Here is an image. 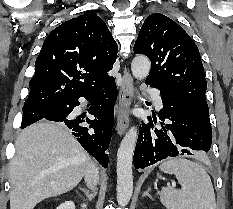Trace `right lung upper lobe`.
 <instances>
[{"label":"right lung upper lobe","mask_w":233,"mask_h":209,"mask_svg":"<svg viewBox=\"0 0 233 209\" xmlns=\"http://www.w3.org/2000/svg\"><path fill=\"white\" fill-rule=\"evenodd\" d=\"M117 44L105 22L86 12L65 21L45 39L25 103L68 101L111 77Z\"/></svg>","instance_id":"right-lung-upper-lobe-1"}]
</instances>
